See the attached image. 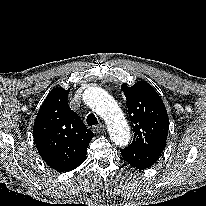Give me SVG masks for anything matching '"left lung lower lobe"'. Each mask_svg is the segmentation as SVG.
I'll list each match as a JSON object with an SVG mask.
<instances>
[{
    "label": "left lung lower lobe",
    "instance_id": "0a47b994",
    "mask_svg": "<svg viewBox=\"0 0 206 206\" xmlns=\"http://www.w3.org/2000/svg\"><path fill=\"white\" fill-rule=\"evenodd\" d=\"M125 161L137 169L151 167L159 158L160 153L146 152L131 147L120 149Z\"/></svg>",
    "mask_w": 206,
    "mask_h": 206
}]
</instances>
